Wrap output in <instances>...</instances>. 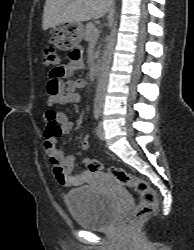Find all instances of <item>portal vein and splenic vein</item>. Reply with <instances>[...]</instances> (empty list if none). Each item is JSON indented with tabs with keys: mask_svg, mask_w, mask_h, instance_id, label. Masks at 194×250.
<instances>
[{
	"mask_svg": "<svg viewBox=\"0 0 194 250\" xmlns=\"http://www.w3.org/2000/svg\"><path fill=\"white\" fill-rule=\"evenodd\" d=\"M95 34L97 35V34H98V32H97V31H95Z\"/></svg>",
	"mask_w": 194,
	"mask_h": 250,
	"instance_id": "obj_1",
	"label": "portal vein and splenic vein"
}]
</instances>
